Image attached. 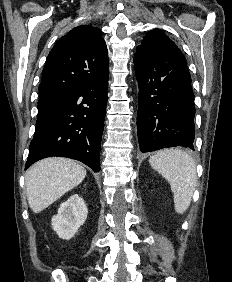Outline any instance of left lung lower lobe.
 <instances>
[{"label":"left lung lower lobe","mask_w":232,"mask_h":282,"mask_svg":"<svg viewBox=\"0 0 232 282\" xmlns=\"http://www.w3.org/2000/svg\"><path fill=\"white\" fill-rule=\"evenodd\" d=\"M137 132L142 153L182 146L194 150V93L187 62L176 45L137 47Z\"/></svg>","instance_id":"0a47b994"}]
</instances>
